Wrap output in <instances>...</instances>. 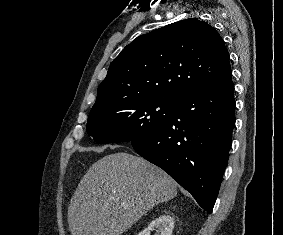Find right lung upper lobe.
<instances>
[{"label":"right lung upper lobe","instance_id":"cb5924a9","mask_svg":"<svg viewBox=\"0 0 283 235\" xmlns=\"http://www.w3.org/2000/svg\"><path fill=\"white\" fill-rule=\"evenodd\" d=\"M231 76L223 39L208 23L181 20L137 37L111 62L96 105L134 97H169Z\"/></svg>","mask_w":283,"mask_h":235}]
</instances>
